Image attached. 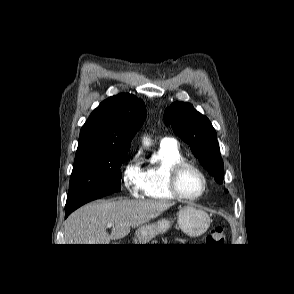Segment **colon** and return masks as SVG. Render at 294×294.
I'll return each mask as SVG.
<instances>
[{
  "label": "colon",
  "instance_id": "colon-1",
  "mask_svg": "<svg viewBox=\"0 0 294 294\" xmlns=\"http://www.w3.org/2000/svg\"><path fill=\"white\" fill-rule=\"evenodd\" d=\"M207 242L214 245H224L225 233L221 226H216L211 229L207 236Z\"/></svg>",
  "mask_w": 294,
  "mask_h": 294
}]
</instances>
